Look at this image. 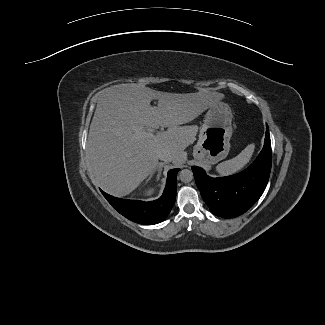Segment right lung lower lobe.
<instances>
[{
	"label": "right lung lower lobe",
	"instance_id": "1",
	"mask_svg": "<svg viewBox=\"0 0 325 325\" xmlns=\"http://www.w3.org/2000/svg\"><path fill=\"white\" fill-rule=\"evenodd\" d=\"M179 170H169L165 190L162 196L154 201L120 199L102 190L101 192L112 207L129 220L144 225L157 224L168 216L175 203Z\"/></svg>",
	"mask_w": 325,
	"mask_h": 325
}]
</instances>
